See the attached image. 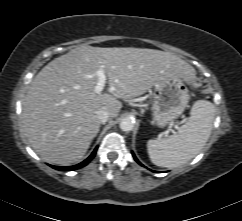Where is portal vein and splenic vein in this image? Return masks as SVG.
<instances>
[{
	"label": "portal vein and splenic vein",
	"instance_id": "portal-vein-and-splenic-vein-1",
	"mask_svg": "<svg viewBox=\"0 0 242 221\" xmlns=\"http://www.w3.org/2000/svg\"><path fill=\"white\" fill-rule=\"evenodd\" d=\"M95 76L98 78V81L96 83L94 91L96 94H100L103 91L105 84L107 83V78L103 69H99L98 71H96Z\"/></svg>",
	"mask_w": 242,
	"mask_h": 221
}]
</instances>
